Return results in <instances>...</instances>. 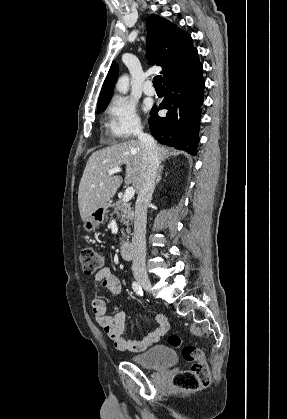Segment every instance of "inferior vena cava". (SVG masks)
Masks as SVG:
<instances>
[{
  "mask_svg": "<svg viewBox=\"0 0 287 419\" xmlns=\"http://www.w3.org/2000/svg\"><path fill=\"white\" fill-rule=\"evenodd\" d=\"M137 137L143 150L142 182L138 191L135 204L134 220V256L133 275L147 276L146 271V222L147 208L152 199L159 166V156L156 150V143L153 137L143 132L142 128L137 130Z\"/></svg>",
  "mask_w": 287,
  "mask_h": 419,
  "instance_id": "inferior-vena-cava-1",
  "label": "inferior vena cava"
}]
</instances>
